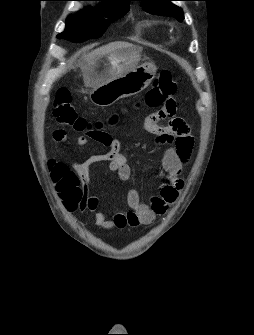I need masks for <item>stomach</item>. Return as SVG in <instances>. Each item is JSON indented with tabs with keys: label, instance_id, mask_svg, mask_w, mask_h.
Returning a JSON list of instances; mask_svg holds the SVG:
<instances>
[{
	"label": "stomach",
	"instance_id": "stomach-1",
	"mask_svg": "<svg viewBox=\"0 0 254 335\" xmlns=\"http://www.w3.org/2000/svg\"><path fill=\"white\" fill-rule=\"evenodd\" d=\"M140 53L141 48L127 46L96 61L86 77L93 104L106 107L150 85L157 68L149 63L139 65Z\"/></svg>",
	"mask_w": 254,
	"mask_h": 335
}]
</instances>
